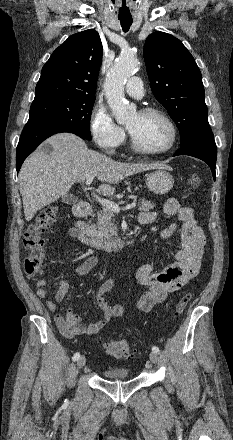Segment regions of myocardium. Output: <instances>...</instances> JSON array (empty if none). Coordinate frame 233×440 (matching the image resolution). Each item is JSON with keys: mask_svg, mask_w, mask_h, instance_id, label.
<instances>
[{"mask_svg": "<svg viewBox=\"0 0 233 440\" xmlns=\"http://www.w3.org/2000/svg\"><path fill=\"white\" fill-rule=\"evenodd\" d=\"M143 115H158L165 120L171 131V138L168 145L159 150H149L139 144L135 136L127 128L130 137L131 148L139 154L146 156H158L169 152L177 142V128L172 118L162 109L156 107H145L139 111Z\"/></svg>", "mask_w": 233, "mask_h": 440, "instance_id": "f54148a6", "label": "myocardium"}]
</instances>
